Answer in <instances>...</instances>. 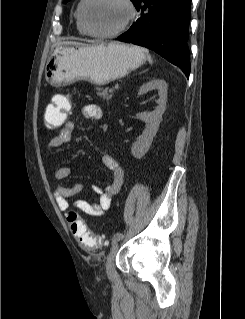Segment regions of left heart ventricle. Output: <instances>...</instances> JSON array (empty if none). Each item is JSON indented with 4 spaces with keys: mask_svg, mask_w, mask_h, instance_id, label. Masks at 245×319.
Here are the masks:
<instances>
[{
    "mask_svg": "<svg viewBox=\"0 0 245 319\" xmlns=\"http://www.w3.org/2000/svg\"><path fill=\"white\" fill-rule=\"evenodd\" d=\"M86 18L93 31L108 33L123 25L128 18V9L121 0H92Z\"/></svg>",
    "mask_w": 245,
    "mask_h": 319,
    "instance_id": "1",
    "label": "left heart ventricle"
}]
</instances>
